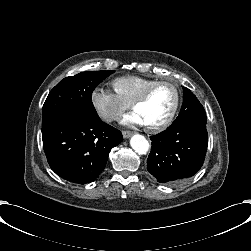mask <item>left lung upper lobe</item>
<instances>
[{
	"instance_id": "obj_1",
	"label": "left lung upper lobe",
	"mask_w": 251,
	"mask_h": 251,
	"mask_svg": "<svg viewBox=\"0 0 251 251\" xmlns=\"http://www.w3.org/2000/svg\"><path fill=\"white\" fill-rule=\"evenodd\" d=\"M183 104L177 119L170 127L186 122L207 123L205 110L196 96L186 87H183Z\"/></svg>"
}]
</instances>
